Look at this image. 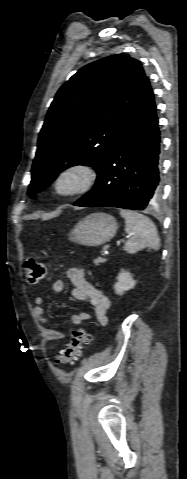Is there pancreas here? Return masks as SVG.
Returning a JSON list of instances; mask_svg holds the SVG:
<instances>
[{"label":"pancreas","mask_w":187,"mask_h":479,"mask_svg":"<svg viewBox=\"0 0 187 479\" xmlns=\"http://www.w3.org/2000/svg\"><path fill=\"white\" fill-rule=\"evenodd\" d=\"M107 260L105 258L98 257L94 260L95 265H99L101 263H105Z\"/></svg>","instance_id":"pancreas-1"}]
</instances>
